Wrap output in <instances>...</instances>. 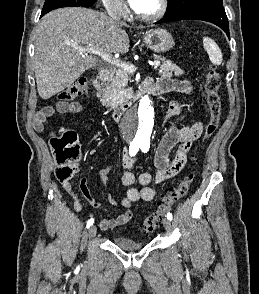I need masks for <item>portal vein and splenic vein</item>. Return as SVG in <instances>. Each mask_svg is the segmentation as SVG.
<instances>
[{"label": "portal vein and splenic vein", "mask_w": 259, "mask_h": 294, "mask_svg": "<svg viewBox=\"0 0 259 294\" xmlns=\"http://www.w3.org/2000/svg\"><path fill=\"white\" fill-rule=\"evenodd\" d=\"M79 50L82 52L93 53L95 55H98L104 61H106L112 65H115L119 68H122L123 70L130 72V73L135 72L137 69L135 65L128 64V63H125V62L120 61L118 59H115L112 55L102 51L101 49L95 48L92 45H88L86 47H81V48H79ZM148 63L154 67H157L160 65V61H154V62L149 61Z\"/></svg>", "instance_id": "obj_1"}]
</instances>
